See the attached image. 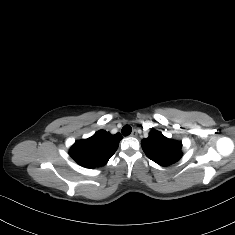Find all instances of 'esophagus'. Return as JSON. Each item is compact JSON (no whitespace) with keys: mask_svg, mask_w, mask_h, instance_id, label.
<instances>
[{"mask_svg":"<svg viewBox=\"0 0 235 235\" xmlns=\"http://www.w3.org/2000/svg\"><path fill=\"white\" fill-rule=\"evenodd\" d=\"M137 134H138V133H137V130L134 129V130L131 132L130 136H131V137H136Z\"/></svg>","mask_w":235,"mask_h":235,"instance_id":"obj_1","label":"esophagus"}]
</instances>
